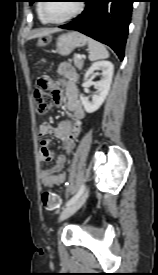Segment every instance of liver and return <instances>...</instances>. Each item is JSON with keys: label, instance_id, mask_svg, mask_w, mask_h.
<instances>
[{"label": "liver", "instance_id": "1", "mask_svg": "<svg viewBox=\"0 0 158 275\" xmlns=\"http://www.w3.org/2000/svg\"><path fill=\"white\" fill-rule=\"evenodd\" d=\"M55 31H57V30H55V29H46V30H43V31H40V32L34 34L32 37L35 38V37L45 36V35H48L50 33L55 32Z\"/></svg>", "mask_w": 158, "mask_h": 275}]
</instances>
